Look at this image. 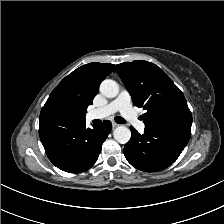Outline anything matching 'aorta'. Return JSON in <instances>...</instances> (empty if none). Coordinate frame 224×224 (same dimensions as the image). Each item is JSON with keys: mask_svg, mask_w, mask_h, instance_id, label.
<instances>
[{"mask_svg": "<svg viewBox=\"0 0 224 224\" xmlns=\"http://www.w3.org/2000/svg\"><path fill=\"white\" fill-rule=\"evenodd\" d=\"M100 92L107 98H114L119 93V85L111 79H105L100 84ZM114 139L120 144H126L131 138V131L126 126H118L113 132Z\"/></svg>", "mask_w": 224, "mask_h": 224, "instance_id": "1", "label": "aorta"}]
</instances>
